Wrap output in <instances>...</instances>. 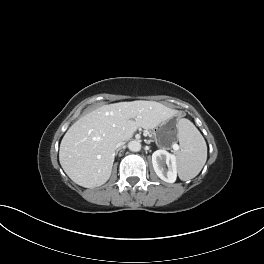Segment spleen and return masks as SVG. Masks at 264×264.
<instances>
[{
    "mask_svg": "<svg viewBox=\"0 0 264 264\" xmlns=\"http://www.w3.org/2000/svg\"><path fill=\"white\" fill-rule=\"evenodd\" d=\"M177 128V138L181 147V151L176 154L178 176L182 181H187L196 177L205 165L207 145L190 120L180 119Z\"/></svg>",
    "mask_w": 264,
    "mask_h": 264,
    "instance_id": "spleen-1",
    "label": "spleen"
}]
</instances>
